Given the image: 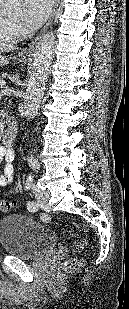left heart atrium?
Listing matches in <instances>:
<instances>
[{"label":"left heart atrium","mask_w":129,"mask_h":309,"mask_svg":"<svg viewBox=\"0 0 129 309\" xmlns=\"http://www.w3.org/2000/svg\"><path fill=\"white\" fill-rule=\"evenodd\" d=\"M52 7V0H24L23 24L28 29H37L47 19Z\"/></svg>","instance_id":"1"}]
</instances>
